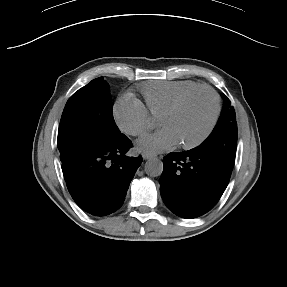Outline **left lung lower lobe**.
Returning a JSON list of instances; mask_svg holds the SVG:
<instances>
[{"label":"left lung lower lobe","mask_w":287,"mask_h":287,"mask_svg":"<svg viewBox=\"0 0 287 287\" xmlns=\"http://www.w3.org/2000/svg\"><path fill=\"white\" fill-rule=\"evenodd\" d=\"M160 192L176 215L195 218L211 210L225 191L232 170L198 147L163 159Z\"/></svg>","instance_id":"0a47b994"}]
</instances>
